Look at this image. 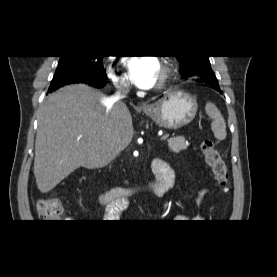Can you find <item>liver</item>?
Segmentation results:
<instances>
[{
	"mask_svg": "<svg viewBox=\"0 0 277 277\" xmlns=\"http://www.w3.org/2000/svg\"><path fill=\"white\" fill-rule=\"evenodd\" d=\"M105 95L85 84L52 93L39 111L34 175L47 193L79 167L107 166L131 142L134 130L125 104L109 111Z\"/></svg>",
	"mask_w": 277,
	"mask_h": 277,
	"instance_id": "liver-1",
	"label": "liver"
}]
</instances>
